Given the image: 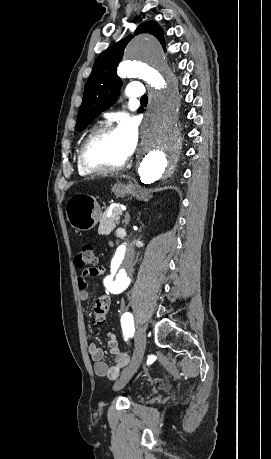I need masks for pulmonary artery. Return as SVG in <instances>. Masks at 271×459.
<instances>
[{
    "label": "pulmonary artery",
    "mask_w": 271,
    "mask_h": 459,
    "mask_svg": "<svg viewBox=\"0 0 271 459\" xmlns=\"http://www.w3.org/2000/svg\"><path fill=\"white\" fill-rule=\"evenodd\" d=\"M143 84L140 81H129L127 83V88L129 91L127 95L130 98H144V89H142Z\"/></svg>",
    "instance_id": "pulmonary-artery-1"
}]
</instances>
